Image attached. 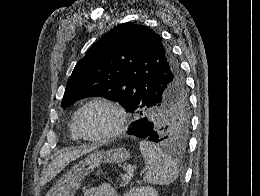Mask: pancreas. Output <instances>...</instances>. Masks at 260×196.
Instances as JSON below:
<instances>
[{"instance_id":"pancreas-1","label":"pancreas","mask_w":260,"mask_h":196,"mask_svg":"<svg viewBox=\"0 0 260 196\" xmlns=\"http://www.w3.org/2000/svg\"><path fill=\"white\" fill-rule=\"evenodd\" d=\"M122 178V182L120 184V186H122V188H125L126 184H129L131 178H133V176H130V174H125V176H121Z\"/></svg>"}]
</instances>
